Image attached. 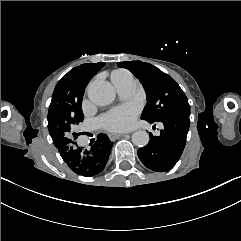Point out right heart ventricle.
<instances>
[{"label": "right heart ventricle", "instance_id": "obj_1", "mask_svg": "<svg viewBox=\"0 0 241 241\" xmlns=\"http://www.w3.org/2000/svg\"><path fill=\"white\" fill-rule=\"evenodd\" d=\"M126 74L125 71H116L113 74V81L117 82L123 78V76Z\"/></svg>", "mask_w": 241, "mask_h": 241}]
</instances>
